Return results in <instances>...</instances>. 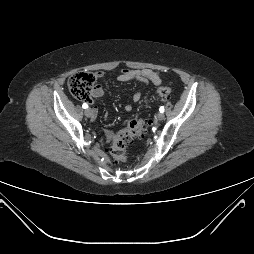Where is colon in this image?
<instances>
[{"label": "colon", "instance_id": "obj_1", "mask_svg": "<svg viewBox=\"0 0 254 254\" xmlns=\"http://www.w3.org/2000/svg\"><path fill=\"white\" fill-rule=\"evenodd\" d=\"M96 82L92 73H76L69 77L68 88L71 94L79 100H89ZM161 99H167L172 93L170 87L162 86L156 90ZM148 122L141 118H133L126 122L124 127L117 132L111 140L110 154L117 162L127 161V147L135 139L147 134Z\"/></svg>", "mask_w": 254, "mask_h": 254}]
</instances>
